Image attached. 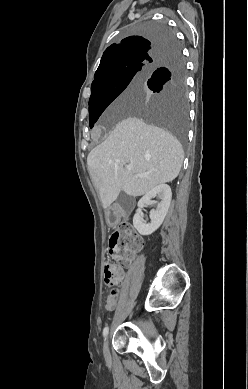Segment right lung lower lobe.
Here are the masks:
<instances>
[{
    "instance_id": "obj_1",
    "label": "right lung lower lobe",
    "mask_w": 248,
    "mask_h": 389,
    "mask_svg": "<svg viewBox=\"0 0 248 389\" xmlns=\"http://www.w3.org/2000/svg\"><path fill=\"white\" fill-rule=\"evenodd\" d=\"M152 41H154V42H157V43H166V42H168V41H172V39H165V38H161V39H157V40H152ZM173 41L175 42V43H169V46H171L172 48L171 49H174L176 46H178L177 45V43H176V41H175V38L173 39ZM170 49V50H171ZM163 75V74H165V70H163V69H160V70H158V69H156L153 73H152V76L153 75Z\"/></svg>"
}]
</instances>
